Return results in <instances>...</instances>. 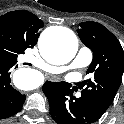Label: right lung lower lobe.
<instances>
[{
  "label": "right lung lower lobe",
  "mask_w": 124,
  "mask_h": 124,
  "mask_svg": "<svg viewBox=\"0 0 124 124\" xmlns=\"http://www.w3.org/2000/svg\"><path fill=\"white\" fill-rule=\"evenodd\" d=\"M16 63L0 62V119L8 118L19 112L24 104L25 95L11 85L10 73Z\"/></svg>",
  "instance_id": "98d812e1"
}]
</instances>
